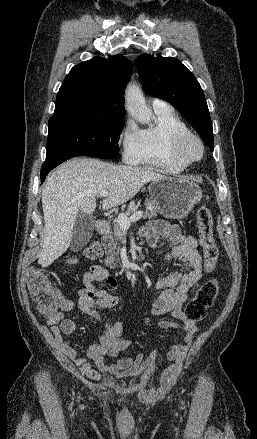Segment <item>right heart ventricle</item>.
<instances>
[{
	"label": "right heart ventricle",
	"mask_w": 257,
	"mask_h": 439,
	"mask_svg": "<svg viewBox=\"0 0 257 439\" xmlns=\"http://www.w3.org/2000/svg\"><path fill=\"white\" fill-rule=\"evenodd\" d=\"M189 131L184 121L170 108L155 111L154 124L139 134V152L133 164L152 167L168 174H178L187 165L171 151L172 140Z\"/></svg>",
	"instance_id": "e07e8e85"
}]
</instances>
